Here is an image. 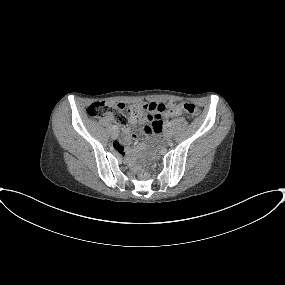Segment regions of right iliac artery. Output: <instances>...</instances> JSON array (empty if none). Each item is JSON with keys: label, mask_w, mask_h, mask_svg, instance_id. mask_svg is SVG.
<instances>
[{"label": "right iliac artery", "mask_w": 285, "mask_h": 285, "mask_svg": "<svg viewBox=\"0 0 285 285\" xmlns=\"http://www.w3.org/2000/svg\"><path fill=\"white\" fill-rule=\"evenodd\" d=\"M112 129H113V130H117L118 128H117L116 125H113V126H112Z\"/></svg>", "instance_id": "82829eb1"}]
</instances>
